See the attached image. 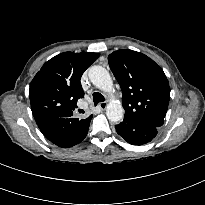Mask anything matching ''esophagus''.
Wrapping results in <instances>:
<instances>
[{"label": "esophagus", "mask_w": 205, "mask_h": 205, "mask_svg": "<svg viewBox=\"0 0 205 205\" xmlns=\"http://www.w3.org/2000/svg\"><path fill=\"white\" fill-rule=\"evenodd\" d=\"M98 107H99L101 110H104V109H106V107H107V103H106V102H100L99 105H98Z\"/></svg>", "instance_id": "1"}]
</instances>
